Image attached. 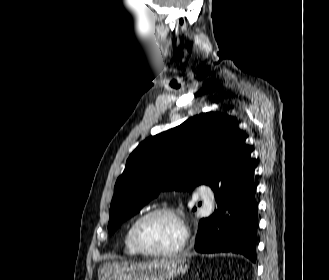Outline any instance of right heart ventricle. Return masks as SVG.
I'll return each mask as SVG.
<instances>
[{"instance_id": "1", "label": "right heart ventricle", "mask_w": 329, "mask_h": 280, "mask_svg": "<svg viewBox=\"0 0 329 280\" xmlns=\"http://www.w3.org/2000/svg\"><path fill=\"white\" fill-rule=\"evenodd\" d=\"M135 221H136V219L131 221V223L127 227V230H126L125 236H124L125 253L128 255H131V256L139 255V252L135 249V247L133 246L132 241H131V229H132V226Z\"/></svg>"}]
</instances>
